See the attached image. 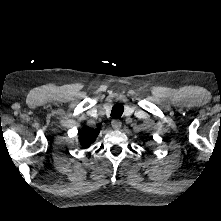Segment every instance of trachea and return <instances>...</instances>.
Wrapping results in <instances>:
<instances>
[{
  "label": "trachea",
  "mask_w": 221,
  "mask_h": 221,
  "mask_svg": "<svg viewBox=\"0 0 221 221\" xmlns=\"http://www.w3.org/2000/svg\"><path fill=\"white\" fill-rule=\"evenodd\" d=\"M124 107L122 104H115L111 111V117L120 118L123 114Z\"/></svg>",
  "instance_id": "trachea-1"
}]
</instances>
